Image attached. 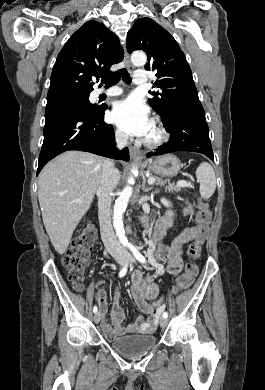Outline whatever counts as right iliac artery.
I'll return each mask as SVG.
<instances>
[{
  "label": "right iliac artery",
  "instance_id": "82829eb1",
  "mask_svg": "<svg viewBox=\"0 0 265 390\" xmlns=\"http://www.w3.org/2000/svg\"><path fill=\"white\" fill-rule=\"evenodd\" d=\"M128 271V264L126 263L123 268L121 269V271L119 272V277H124L126 275ZM98 310L97 306H94L93 307V312L96 313Z\"/></svg>",
  "mask_w": 265,
  "mask_h": 390
}]
</instances>
